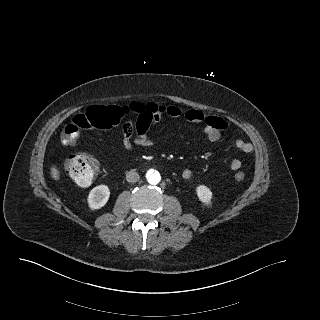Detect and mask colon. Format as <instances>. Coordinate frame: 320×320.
<instances>
[{
    "label": "colon",
    "mask_w": 320,
    "mask_h": 320,
    "mask_svg": "<svg viewBox=\"0 0 320 320\" xmlns=\"http://www.w3.org/2000/svg\"><path fill=\"white\" fill-rule=\"evenodd\" d=\"M143 107L139 109L142 110ZM126 109L118 106H91L84 113L77 115L61 132L64 143H72L79 137L80 131L85 129H107L119 124L126 113ZM148 121L141 116L137 118V127L147 125ZM65 169L71 178L80 186L90 185L98 173V163L95 158L87 154H72L65 160ZM245 174L237 172L235 179L243 180Z\"/></svg>",
    "instance_id": "colon-1"
}]
</instances>
